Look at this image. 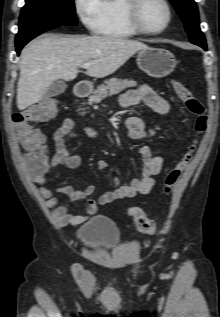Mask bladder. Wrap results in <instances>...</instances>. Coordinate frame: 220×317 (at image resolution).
Instances as JSON below:
<instances>
[{"label":"bladder","mask_w":220,"mask_h":317,"mask_svg":"<svg viewBox=\"0 0 220 317\" xmlns=\"http://www.w3.org/2000/svg\"><path fill=\"white\" fill-rule=\"evenodd\" d=\"M78 242L91 250H101L118 246L121 241L119 228L107 217L97 215L84 224L77 232Z\"/></svg>","instance_id":"bladder-1"}]
</instances>
